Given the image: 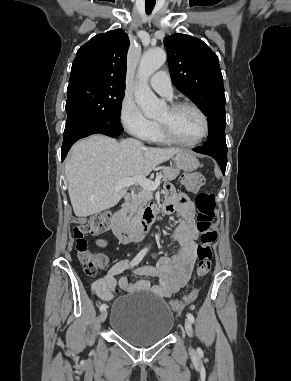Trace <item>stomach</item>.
<instances>
[{"label":"stomach","mask_w":291,"mask_h":381,"mask_svg":"<svg viewBox=\"0 0 291 381\" xmlns=\"http://www.w3.org/2000/svg\"><path fill=\"white\" fill-rule=\"evenodd\" d=\"M174 164L178 170L193 172L199 166L198 159L190 152L182 151L173 158Z\"/></svg>","instance_id":"obj_1"}]
</instances>
